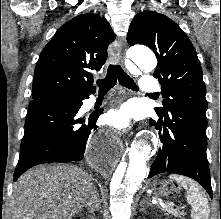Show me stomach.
<instances>
[{"instance_id":"obj_1","label":"stomach","mask_w":221,"mask_h":219,"mask_svg":"<svg viewBox=\"0 0 221 219\" xmlns=\"http://www.w3.org/2000/svg\"><path fill=\"white\" fill-rule=\"evenodd\" d=\"M167 184V182L155 180L152 184L155 195H178V190H166Z\"/></svg>"}]
</instances>
